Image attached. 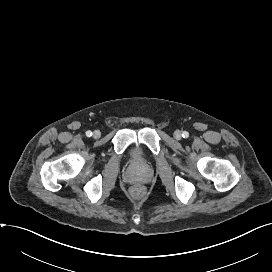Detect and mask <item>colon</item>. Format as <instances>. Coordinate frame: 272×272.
<instances>
[{
    "instance_id": "obj_1",
    "label": "colon",
    "mask_w": 272,
    "mask_h": 272,
    "mask_svg": "<svg viewBox=\"0 0 272 272\" xmlns=\"http://www.w3.org/2000/svg\"><path fill=\"white\" fill-rule=\"evenodd\" d=\"M142 192H143V190H142V188L140 186H135L132 189L133 195L137 196V197L140 196L142 194Z\"/></svg>"
}]
</instances>
